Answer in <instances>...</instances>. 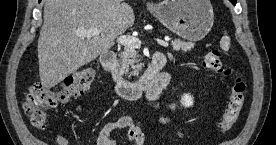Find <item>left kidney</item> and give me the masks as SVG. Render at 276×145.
Wrapping results in <instances>:
<instances>
[{
	"label": "left kidney",
	"instance_id": "5707ae66",
	"mask_svg": "<svg viewBox=\"0 0 276 145\" xmlns=\"http://www.w3.org/2000/svg\"><path fill=\"white\" fill-rule=\"evenodd\" d=\"M180 102L183 106L190 107L193 105V97L189 94H184Z\"/></svg>",
	"mask_w": 276,
	"mask_h": 145
}]
</instances>
